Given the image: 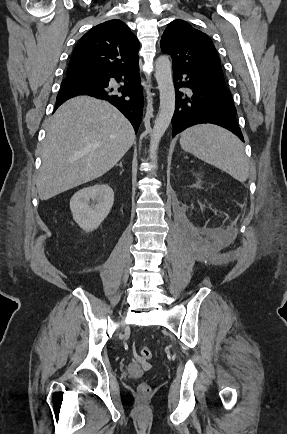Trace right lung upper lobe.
<instances>
[{"instance_id": "cb5924a9", "label": "right lung upper lobe", "mask_w": 287, "mask_h": 434, "mask_svg": "<svg viewBox=\"0 0 287 434\" xmlns=\"http://www.w3.org/2000/svg\"><path fill=\"white\" fill-rule=\"evenodd\" d=\"M138 50L139 41L124 22L101 23L78 41L65 80L134 67L139 62Z\"/></svg>"}]
</instances>
